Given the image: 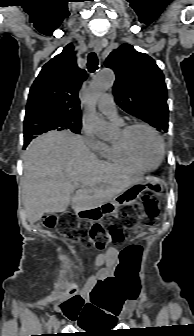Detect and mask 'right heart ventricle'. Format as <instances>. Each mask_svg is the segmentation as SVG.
I'll return each mask as SVG.
<instances>
[{
    "instance_id": "1",
    "label": "right heart ventricle",
    "mask_w": 194,
    "mask_h": 336,
    "mask_svg": "<svg viewBox=\"0 0 194 336\" xmlns=\"http://www.w3.org/2000/svg\"><path fill=\"white\" fill-rule=\"evenodd\" d=\"M99 156L108 162L126 167L135 172H145L149 169L137 163L123 148L119 140L103 143L98 151Z\"/></svg>"
}]
</instances>
